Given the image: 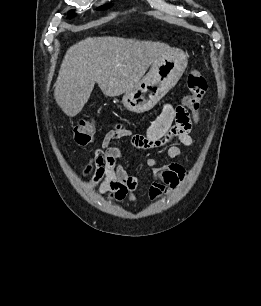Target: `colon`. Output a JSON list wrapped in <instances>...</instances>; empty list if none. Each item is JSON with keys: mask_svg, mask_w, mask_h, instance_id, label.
Wrapping results in <instances>:
<instances>
[{"mask_svg": "<svg viewBox=\"0 0 261 306\" xmlns=\"http://www.w3.org/2000/svg\"><path fill=\"white\" fill-rule=\"evenodd\" d=\"M186 87L188 94L183 98V105L186 109L194 110L199 108L200 102L207 90V82L203 74L193 69L188 73ZM94 136V125L91 121L82 119L76 125L73 132V140L79 146L90 144ZM94 165L97 168H102L105 164V153L98 149L94 154Z\"/></svg>", "mask_w": 261, "mask_h": 306, "instance_id": "obj_1", "label": "colon"}]
</instances>
